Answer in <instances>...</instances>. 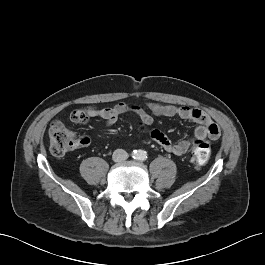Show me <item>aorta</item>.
<instances>
[{"mask_svg": "<svg viewBox=\"0 0 265 265\" xmlns=\"http://www.w3.org/2000/svg\"><path fill=\"white\" fill-rule=\"evenodd\" d=\"M135 157L136 159L138 160H145L147 158V152L144 151V150H138L136 153H135Z\"/></svg>", "mask_w": 265, "mask_h": 265, "instance_id": "1", "label": "aorta"}]
</instances>
